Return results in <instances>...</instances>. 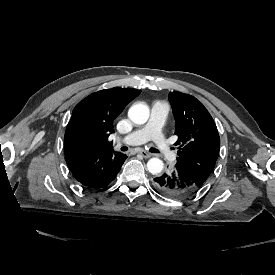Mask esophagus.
Segmentation results:
<instances>
[{"mask_svg": "<svg viewBox=\"0 0 275 275\" xmlns=\"http://www.w3.org/2000/svg\"><path fill=\"white\" fill-rule=\"evenodd\" d=\"M139 154H141L142 156H143V158H145V159H147V158H150L151 157V154L150 153H148L147 151H145V150H141L140 152H139Z\"/></svg>", "mask_w": 275, "mask_h": 275, "instance_id": "esophagus-1", "label": "esophagus"}]
</instances>
